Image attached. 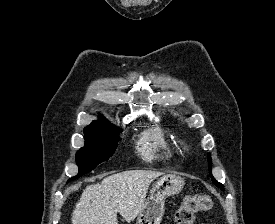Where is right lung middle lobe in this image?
<instances>
[{
    "mask_svg": "<svg viewBox=\"0 0 275 224\" xmlns=\"http://www.w3.org/2000/svg\"><path fill=\"white\" fill-rule=\"evenodd\" d=\"M119 132L115 127L85 129V146L76 153L79 173L68 181L79 178L107 161L117 147Z\"/></svg>",
    "mask_w": 275,
    "mask_h": 224,
    "instance_id": "dd1d6c3e",
    "label": "right lung middle lobe"
}]
</instances>
